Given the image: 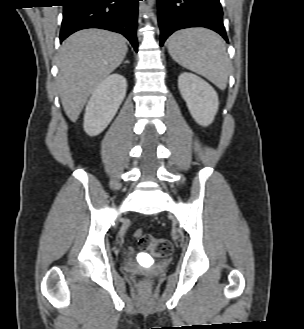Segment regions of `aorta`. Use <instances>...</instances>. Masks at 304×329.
<instances>
[{
  "mask_svg": "<svg viewBox=\"0 0 304 329\" xmlns=\"http://www.w3.org/2000/svg\"><path fill=\"white\" fill-rule=\"evenodd\" d=\"M155 0H148V7H152L154 5Z\"/></svg>",
  "mask_w": 304,
  "mask_h": 329,
  "instance_id": "obj_1",
  "label": "aorta"
}]
</instances>
